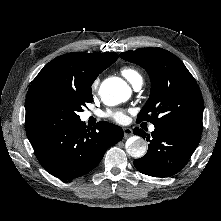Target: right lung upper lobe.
Masks as SVG:
<instances>
[{
  "mask_svg": "<svg viewBox=\"0 0 221 221\" xmlns=\"http://www.w3.org/2000/svg\"><path fill=\"white\" fill-rule=\"evenodd\" d=\"M118 56L116 53H67L50 61L39 72L27 93L29 96L40 86L51 83L76 90L91 88L96 77L112 65ZM26 107V102H25ZM32 126L25 122V127Z\"/></svg>",
  "mask_w": 221,
  "mask_h": 221,
  "instance_id": "1",
  "label": "right lung upper lobe"
}]
</instances>
